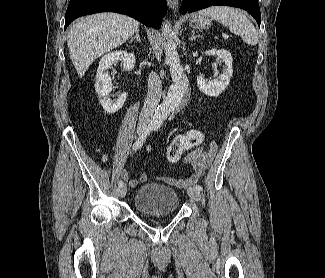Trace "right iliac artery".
I'll list each match as a JSON object with an SVG mask.
<instances>
[{"label": "right iliac artery", "mask_w": 325, "mask_h": 278, "mask_svg": "<svg viewBox=\"0 0 325 278\" xmlns=\"http://www.w3.org/2000/svg\"><path fill=\"white\" fill-rule=\"evenodd\" d=\"M154 128H155V125H153V124H149L148 126H146V127L144 128V130H143L141 136H140V137L138 138V140L134 143V145H133V150L136 151V150L140 149V148L143 146V144H144V142H145L147 136L151 133V131H152ZM123 184H124V183H123L122 180L118 181V185H119V186H122Z\"/></svg>", "instance_id": "1"}]
</instances>
